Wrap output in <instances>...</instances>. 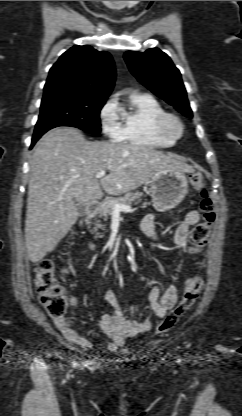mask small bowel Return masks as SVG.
I'll list each match as a JSON object with an SVG mask.
<instances>
[{"instance_id": "obj_1", "label": "small bowel", "mask_w": 242, "mask_h": 416, "mask_svg": "<svg viewBox=\"0 0 242 416\" xmlns=\"http://www.w3.org/2000/svg\"><path fill=\"white\" fill-rule=\"evenodd\" d=\"M155 220L156 215L151 213L146 215L141 222L142 230L152 240H157L159 238ZM199 220L200 214L197 211L192 210L189 211L185 218L176 226L173 235V243L177 251L174 260L175 276H177L179 272V258L181 252L187 245L188 231L190 227L198 223ZM177 295L178 290L175 284H170L163 293L159 286H154L150 290L148 297L152 316L155 318L163 317L176 303ZM104 299L113 308L112 313L103 314L100 320L101 331L109 339L106 350L116 351L124 344L127 338L148 332L152 328L153 320L151 317H148L141 322L126 319L120 302L111 288L105 290ZM72 305L75 309L76 302L72 301ZM53 321L67 341L86 350L92 349L93 344L91 341L78 334L72 328L68 318H53Z\"/></svg>"}]
</instances>
